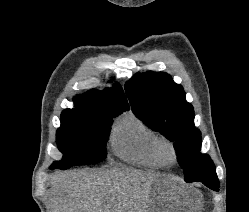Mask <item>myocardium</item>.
Wrapping results in <instances>:
<instances>
[{
  "label": "myocardium",
  "instance_id": "f54148a6",
  "mask_svg": "<svg viewBox=\"0 0 249 212\" xmlns=\"http://www.w3.org/2000/svg\"><path fill=\"white\" fill-rule=\"evenodd\" d=\"M156 154L158 158L166 165H173L178 161V150L175 144L165 138H161L156 145Z\"/></svg>",
  "mask_w": 249,
  "mask_h": 212
}]
</instances>
